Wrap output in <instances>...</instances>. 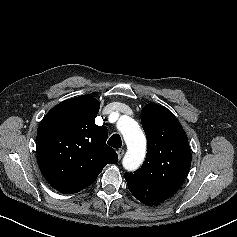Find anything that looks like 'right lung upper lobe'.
I'll return each mask as SVG.
<instances>
[{"instance_id":"right-lung-upper-lobe-1","label":"right lung upper lobe","mask_w":237,"mask_h":237,"mask_svg":"<svg viewBox=\"0 0 237 237\" xmlns=\"http://www.w3.org/2000/svg\"><path fill=\"white\" fill-rule=\"evenodd\" d=\"M99 108L94 97L78 96L53 107L40 124L39 167L47 182L63 194L91 185L104 166L118 161L106 145L107 128L94 122Z\"/></svg>"}]
</instances>
